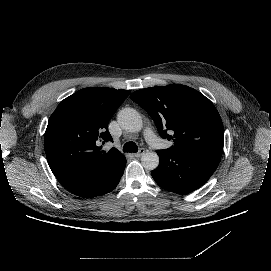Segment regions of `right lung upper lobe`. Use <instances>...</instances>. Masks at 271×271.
Wrapping results in <instances>:
<instances>
[{
	"label": "right lung upper lobe",
	"instance_id": "right-lung-upper-lobe-1",
	"mask_svg": "<svg viewBox=\"0 0 271 271\" xmlns=\"http://www.w3.org/2000/svg\"><path fill=\"white\" fill-rule=\"evenodd\" d=\"M130 91L84 88L62 100L50 116L44 137L48 164L71 193L94 191L107 184L125 165L117 149L98 145L113 141L108 121Z\"/></svg>",
	"mask_w": 271,
	"mask_h": 271
}]
</instances>
